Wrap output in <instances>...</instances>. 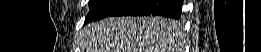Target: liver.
Here are the masks:
<instances>
[{"label": "liver", "instance_id": "liver-1", "mask_svg": "<svg viewBox=\"0 0 261 52\" xmlns=\"http://www.w3.org/2000/svg\"><path fill=\"white\" fill-rule=\"evenodd\" d=\"M178 36L163 17H108L89 25L87 52H173Z\"/></svg>", "mask_w": 261, "mask_h": 52}]
</instances>
